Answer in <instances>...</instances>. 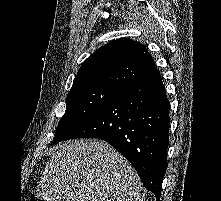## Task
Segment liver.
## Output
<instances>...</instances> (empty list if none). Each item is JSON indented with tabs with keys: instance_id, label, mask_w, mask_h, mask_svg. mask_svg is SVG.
Masks as SVG:
<instances>
[{
	"instance_id": "1",
	"label": "liver",
	"mask_w": 221,
	"mask_h": 201,
	"mask_svg": "<svg viewBox=\"0 0 221 201\" xmlns=\"http://www.w3.org/2000/svg\"><path fill=\"white\" fill-rule=\"evenodd\" d=\"M38 196L45 201H144L145 193L134 168L107 142L80 139L54 148Z\"/></svg>"
}]
</instances>
